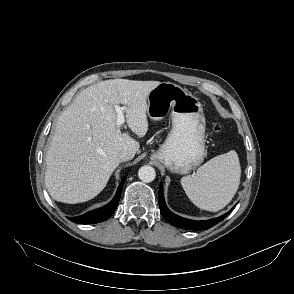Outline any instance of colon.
Returning a JSON list of instances; mask_svg holds the SVG:
<instances>
[{
	"mask_svg": "<svg viewBox=\"0 0 294 294\" xmlns=\"http://www.w3.org/2000/svg\"><path fill=\"white\" fill-rule=\"evenodd\" d=\"M213 130H214L215 132L220 131V130H221V125H220L219 123H214V124H213Z\"/></svg>",
	"mask_w": 294,
	"mask_h": 294,
	"instance_id": "1",
	"label": "colon"
}]
</instances>
